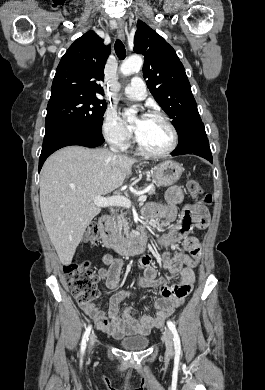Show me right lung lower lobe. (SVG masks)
I'll return each instance as SVG.
<instances>
[{"instance_id":"obj_1","label":"right lung lower lobe","mask_w":265,"mask_h":390,"mask_svg":"<svg viewBox=\"0 0 265 390\" xmlns=\"http://www.w3.org/2000/svg\"><path fill=\"white\" fill-rule=\"evenodd\" d=\"M45 136L39 158V171L49 155L56 150L69 146L80 145L97 147L103 144L101 131L90 129L72 121L52 120L45 123Z\"/></svg>"}]
</instances>
